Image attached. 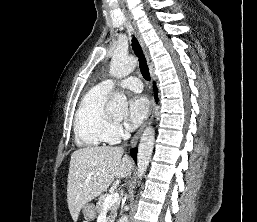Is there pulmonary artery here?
I'll return each instance as SVG.
<instances>
[{"label": "pulmonary artery", "instance_id": "obj_1", "mask_svg": "<svg viewBox=\"0 0 257 222\" xmlns=\"http://www.w3.org/2000/svg\"><path fill=\"white\" fill-rule=\"evenodd\" d=\"M99 86L108 92L112 91L117 86L135 92H141L143 90V85L141 81L136 77H127L121 81L107 79L102 81Z\"/></svg>", "mask_w": 257, "mask_h": 222}]
</instances>
